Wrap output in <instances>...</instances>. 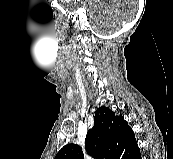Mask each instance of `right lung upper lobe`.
<instances>
[{"mask_svg":"<svg viewBox=\"0 0 173 159\" xmlns=\"http://www.w3.org/2000/svg\"><path fill=\"white\" fill-rule=\"evenodd\" d=\"M85 146L88 154L96 159H126L139 149L128 123L104 106L95 112L94 126L86 135ZM83 158V152L77 144L65 145L55 156V159Z\"/></svg>","mask_w":173,"mask_h":159,"instance_id":"1","label":"right lung upper lobe"}]
</instances>
